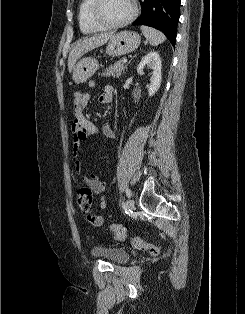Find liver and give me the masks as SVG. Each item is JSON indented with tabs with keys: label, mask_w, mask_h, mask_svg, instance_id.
Wrapping results in <instances>:
<instances>
[{
	"label": "liver",
	"mask_w": 245,
	"mask_h": 314,
	"mask_svg": "<svg viewBox=\"0 0 245 314\" xmlns=\"http://www.w3.org/2000/svg\"><path fill=\"white\" fill-rule=\"evenodd\" d=\"M114 33H102L89 38H83L76 42L68 57V70L74 69L76 61L85 53L105 44Z\"/></svg>",
	"instance_id": "1"
}]
</instances>
